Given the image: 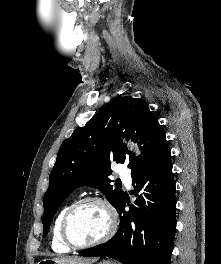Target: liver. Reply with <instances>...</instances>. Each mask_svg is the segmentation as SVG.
I'll list each match as a JSON object with an SVG mask.
<instances>
[{
	"label": "liver",
	"mask_w": 221,
	"mask_h": 264,
	"mask_svg": "<svg viewBox=\"0 0 221 264\" xmlns=\"http://www.w3.org/2000/svg\"><path fill=\"white\" fill-rule=\"evenodd\" d=\"M56 260L62 263H70V264H91L92 262L96 261L97 259H82L78 257H60L55 258Z\"/></svg>",
	"instance_id": "6515ba94"
}]
</instances>
